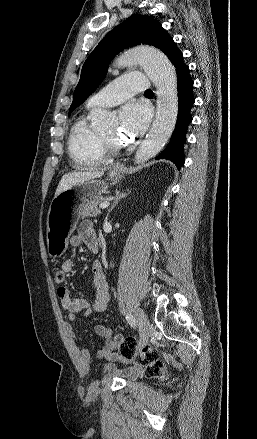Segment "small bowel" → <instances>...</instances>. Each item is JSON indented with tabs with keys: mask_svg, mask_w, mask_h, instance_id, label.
<instances>
[{
	"mask_svg": "<svg viewBox=\"0 0 257 439\" xmlns=\"http://www.w3.org/2000/svg\"><path fill=\"white\" fill-rule=\"evenodd\" d=\"M70 244L74 248L85 244L91 252L96 253L98 251V240L93 224L90 221H83L77 233L71 236ZM61 270L65 274L70 273L73 270V261L71 259L65 260L61 265ZM92 286L95 289V298L92 303L80 297L72 298L66 287L62 286L57 289L62 308L68 313L70 321H74L78 313L88 316L92 312H103L108 307L110 301L109 287L99 261H94L92 264ZM94 330L97 335L105 339V346L97 352V357L107 362L105 365L106 372L126 380H137L140 378L142 376L141 366L135 361L120 357L114 350L113 331L101 324L96 325ZM68 333L71 338H75V332L71 327ZM116 361H121L127 367L123 369L117 368L114 365ZM80 364L85 373L90 370L91 357L89 351L85 348L80 350Z\"/></svg>",
	"mask_w": 257,
	"mask_h": 439,
	"instance_id": "obj_1",
	"label": "small bowel"
}]
</instances>
